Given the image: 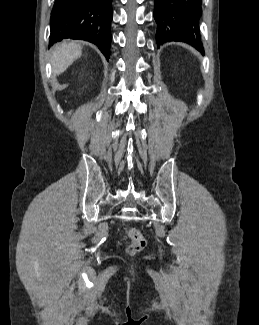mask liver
Returning a JSON list of instances; mask_svg holds the SVG:
<instances>
[{
	"label": "liver",
	"mask_w": 259,
	"mask_h": 325,
	"mask_svg": "<svg viewBox=\"0 0 259 325\" xmlns=\"http://www.w3.org/2000/svg\"><path fill=\"white\" fill-rule=\"evenodd\" d=\"M81 55L82 47L75 42L64 41L55 45L51 56L53 74L63 73Z\"/></svg>",
	"instance_id": "1"
}]
</instances>
